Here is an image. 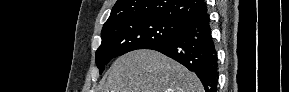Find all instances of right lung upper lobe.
Wrapping results in <instances>:
<instances>
[{
  "instance_id": "right-lung-upper-lobe-1",
  "label": "right lung upper lobe",
  "mask_w": 289,
  "mask_h": 92,
  "mask_svg": "<svg viewBox=\"0 0 289 92\" xmlns=\"http://www.w3.org/2000/svg\"><path fill=\"white\" fill-rule=\"evenodd\" d=\"M206 12L204 0H117L103 27L140 17L162 18L185 24Z\"/></svg>"
}]
</instances>
